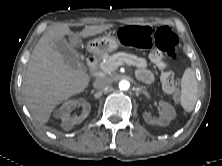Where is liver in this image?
Masks as SVG:
<instances>
[{
	"label": "liver",
	"instance_id": "6515ba94",
	"mask_svg": "<svg viewBox=\"0 0 222 166\" xmlns=\"http://www.w3.org/2000/svg\"><path fill=\"white\" fill-rule=\"evenodd\" d=\"M113 24L86 26L78 35L68 24H58L47 30L34 47L25 76L23 92L26 106L40 124L48 122L54 108L71 96L83 92L90 81L89 75L65 63L55 41L69 37L71 46L79 47L81 37L87 38L104 32Z\"/></svg>",
	"mask_w": 222,
	"mask_h": 166
}]
</instances>
